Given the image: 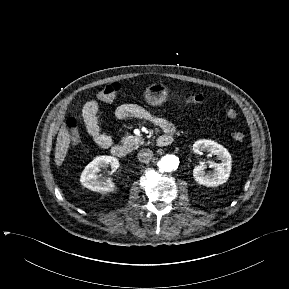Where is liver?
I'll list each match as a JSON object with an SVG mask.
<instances>
[{
  "label": "liver",
  "mask_w": 289,
  "mask_h": 289,
  "mask_svg": "<svg viewBox=\"0 0 289 289\" xmlns=\"http://www.w3.org/2000/svg\"><path fill=\"white\" fill-rule=\"evenodd\" d=\"M69 144H70V134L66 129L65 125H63L59 130L55 146L54 161L57 166L62 165V162L64 161L66 154L68 152Z\"/></svg>",
  "instance_id": "obj_1"
}]
</instances>
